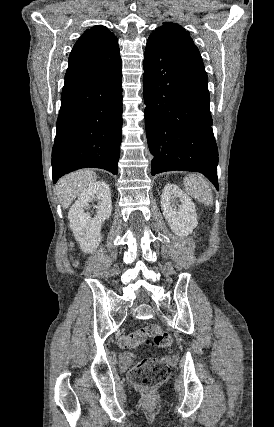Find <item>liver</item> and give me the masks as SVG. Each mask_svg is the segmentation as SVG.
<instances>
[{"instance_id": "liver-1", "label": "liver", "mask_w": 274, "mask_h": 427, "mask_svg": "<svg viewBox=\"0 0 274 427\" xmlns=\"http://www.w3.org/2000/svg\"><path fill=\"white\" fill-rule=\"evenodd\" d=\"M96 180L97 176L92 170H78L61 178L57 182L56 190L62 208H69L75 198Z\"/></svg>"}]
</instances>
